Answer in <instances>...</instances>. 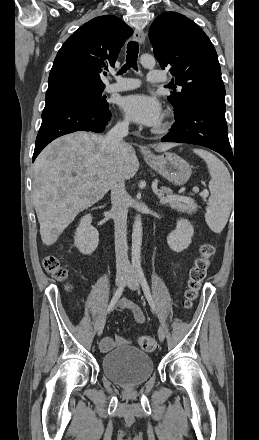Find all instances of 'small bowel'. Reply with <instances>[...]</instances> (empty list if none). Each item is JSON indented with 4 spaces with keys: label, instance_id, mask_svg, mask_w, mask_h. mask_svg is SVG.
I'll use <instances>...</instances> for the list:
<instances>
[{
    "label": "small bowel",
    "instance_id": "obj_1",
    "mask_svg": "<svg viewBox=\"0 0 259 440\" xmlns=\"http://www.w3.org/2000/svg\"><path fill=\"white\" fill-rule=\"evenodd\" d=\"M118 308L121 311H123V310L131 311L136 324L142 325L145 322V317H144V314L141 311V309L137 305L130 302L129 300L122 299L119 303ZM129 342H130V339L123 337V336H118L116 338L105 337L102 339V341L100 343V347H101L102 351H108L117 345H122V344H126Z\"/></svg>",
    "mask_w": 259,
    "mask_h": 440
}]
</instances>
